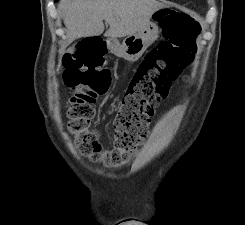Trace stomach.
Wrapping results in <instances>:
<instances>
[{
	"label": "stomach",
	"mask_w": 245,
	"mask_h": 225,
	"mask_svg": "<svg viewBox=\"0 0 245 225\" xmlns=\"http://www.w3.org/2000/svg\"><path fill=\"white\" fill-rule=\"evenodd\" d=\"M163 8L157 10L151 16L156 18ZM159 26L156 21H150L142 30L134 35L127 36L122 44L115 38L109 41V47L113 54L127 61H137L145 50L158 38Z\"/></svg>",
	"instance_id": "0dacf381"
}]
</instances>
